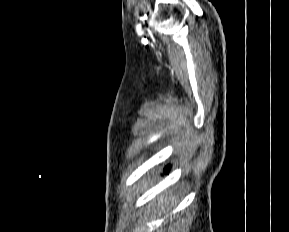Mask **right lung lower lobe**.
I'll return each instance as SVG.
<instances>
[{
	"mask_svg": "<svg viewBox=\"0 0 289 232\" xmlns=\"http://www.w3.org/2000/svg\"><path fill=\"white\" fill-rule=\"evenodd\" d=\"M169 169H170V167L167 166V167L164 169V172L167 173Z\"/></svg>",
	"mask_w": 289,
	"mask_h": 232,
	"instance_id": "98d812e1",
	"label": "right lung lower lobe"
}]
</instances>
